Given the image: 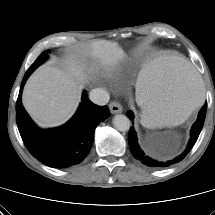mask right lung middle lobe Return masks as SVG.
<instances>
[{
    "instance_id": "right-lung-middle-lobe-1",
    "label": "right lung middle lobe",
    "mask_w": 215,
    "mask_h": 215,
    "mask_svg": "<svg viewBox=\"0 0 215 215\" xmlns=\"http://www.w3.org/2000/svg\"><path fill=\"white\" fill-rule=\"evenodd\" d=\"M48 51L49 50L41 53V55L36 59V61L30 66L29 70L34 71L40 64H42L47 58L46 53Z\"/></svg>"
}]
</instances>
